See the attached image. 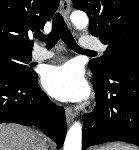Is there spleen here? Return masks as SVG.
<instances>
[{
	"label": "spleen",
	"instance_id": "1",
	"mask_svg": "<svg viewBox=\"0 0 139 150\" xmlns=\"http://www.w3.org/2000/svg\"><path fill=\"white\" fill-rule=\"evenodd\" d=\"M108 150H136V148L122 144V143H115L107 147Z\"/></svg>",
	"mask_w": 139,
	"mask_h": 150
}]
</instances>
